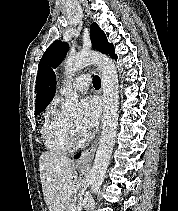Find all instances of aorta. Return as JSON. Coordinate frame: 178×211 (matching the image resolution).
I'll use <instances>...</instances> for the list:
<instances>
[{"instance_id":"762f6f07","label":"aorta","mask_w":178,"mask_h":211,"mask_svg":"<svg viewBox=\"0 0 178 211\" xmlns=\"http://www.w3.org/2000/svg\"><path fill=\"white\" fill-rule=\"evenodd\" d=\"M92 64H96L102 74L104 104L102 132L91 169L90 184L94 192L99 190L102 185L115 143L119 104L117 69L112 59L97 52H80L76 55L69 56L65 61L64 69L66 77L71 78L79 69ZM64 110L71 114H75L80 110L76 92L69 90L64 103Z\"/></svg>"}]
</instances>
